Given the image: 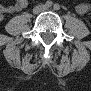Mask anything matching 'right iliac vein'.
I'll return each mask as SVG.
<instances>
[{"mask_svg":"<svg viewBox=\"0 0 91 91\" xmlns=\"http://www.w3.org/2000/svg\"><path fill=\"white\" fill-rule=\"evenodd\" d=\"M42 10V6H37L34 8V13L38 14Z\"/></svg>","mask_w":91,"mask_h":91,"instance_id":"right-iliac-vein-1","label":"right iliac vein"}]
</instances>
